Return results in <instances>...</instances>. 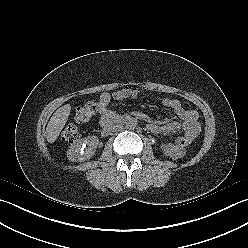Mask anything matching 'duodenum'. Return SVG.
Instances as JSON below:
<instances>
[{"label": "duodenum", "instance_id": "410a0bca", "mask_svg": "<svg viewBox=\"0 0 248 248\" xmlns=\"http://www.w3.org/2000/svg\"><path fill=\"white\" fill-rule=\"evenodd\" d=\"M134 121L131 116H117L114 117L111 122H108L102 129V134L107 136L116 126L124 125L126 123Z\"/></svg>", "mask_w": 248, "mask_h": 248}]
</instances>
